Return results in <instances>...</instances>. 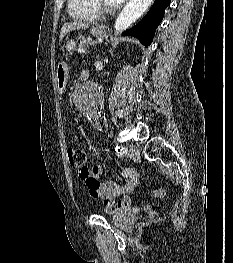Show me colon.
Instances as JSON below:
<instances>
[{"instance_id":"5ec220e1","label":"colon","mask_w":233,"mask_h":263,"mask_svg":"<svg viewBox=\"0 0 233 263\" xmlns=\"http://www.w3.org/2000/svg\"><path fill=\"white\" fill-rule=\"evenodd\" d=\"M69 163L72 167L78 168L82 177L88 176V169L85 166L86 153L82 148L69 147L67 150ZM154 198H163L165 196V190L163 188L155 189L152 192Z\"/></svg>"}]
</instances>
